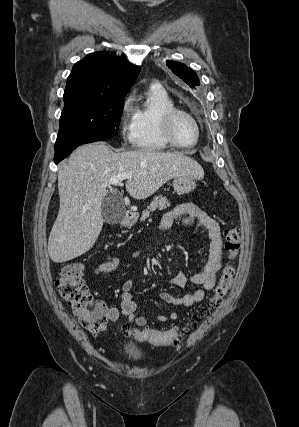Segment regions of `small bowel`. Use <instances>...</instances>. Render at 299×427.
Here are the masks:
<instances>
[{
	"label": "small bowel",
	"mask_w": 299,
	"mask_h": 427,
	"mask_svg": "<svg viewBox=\"0 0 299 427\" xmlns=\"http://www.w3.org/2000/svg\"><path fill=\"white\" fill-rule=\"evenodd\" d=\"M176 222H182L187 229L197 231L206 236L210 241L209 254L200 273L193 275L190 279L183 273H178L172 278V283L175 285L185 286L190 281L201 288L183 297H177L170 292H162L160 294L162 300L172 306L192 307L204 299L206 291H211L215 287L218 273L224 262L223 240L218 223L195 204L183 203L166 213L161 222V230L165 231L169 229ZM118 266V259L111 258L108 262L101 264L95 270V273H110L115 271ZM133 284V280H127L122 285V314L130 323L136 326H144L147 320L138 314L137 304L132 299L131 289ZM107 315L108 319L112 322L118 321L120 317L118 309L114 307H107ZM179 316V312L173 310L168 315H156L155 320L163 323L168 320H177Z\"/></svg>",
	"instance_id": "obj_1"
}]
</instances>
